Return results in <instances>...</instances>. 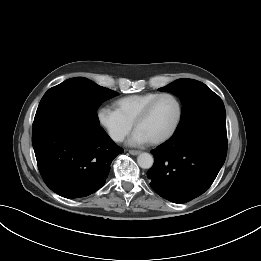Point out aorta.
I'll use <instances>...</instances> for the list:
<instances>
[{
    "instance_id": "aorta-1",
    "label": "aorta",
    "mask_w": 261,
    "mask_h": 261,
    "mask_svg": "<svg viewBox=\"0 0 261 261\" xmlns=\"http://www.w3.org/2000/svg\"><path fill=\"white\" fill-rule=\"evenodd\" d=\"M137 163L142 169H149L154 163V158L151 154L144 152L137 157Z\"/></svg>"
}]
</instances>
